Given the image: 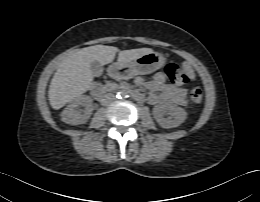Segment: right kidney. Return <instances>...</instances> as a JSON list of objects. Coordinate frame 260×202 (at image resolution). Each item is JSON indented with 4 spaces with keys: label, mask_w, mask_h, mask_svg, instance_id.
<instances>
[{
    "label": "right kidney",
    "mask_w": 260,
    "mask_h": 202,
    "mask_svg": "<svg viewBox=\"0 0 260 202\" xmlns=\"http://www.w3.org/2000/svg\"><path fill=\"white\" fill-rule=\"evenodd\" d=\"M84 107V109H81ZM92 114V99L88 95L75 98L62 112V121L70 125L85 123Z\"/></svg>",
    "instance_id": "right-kidney-1"
}]
</instances>
